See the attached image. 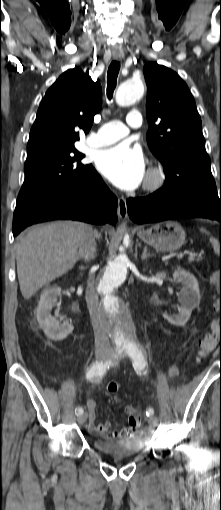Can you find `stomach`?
I'll list each match as a JSON object with an SVG mask.
<instances>
[{
	"label": "stomach",
	"instance_id": "obj_1",
	"mask_svg": "<svg viewBox=\"0 0 221 510\" xmlns=\"http://www.w3.org/2000/svg\"><path fill=\"white\" fill-rule=\"evenodd\" d=\"M137 234L145 243L160 251H175L185 242L184 229L174 221L161 222L147 229L140 228Z\"/></svg>",
	"mask_w": 221,
	"mask_h": 510
}]
</instances>
